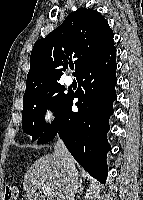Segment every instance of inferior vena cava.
Instances as JSON below:
<instances>
[{
    "mask_svg": "<svg viewBox=\"0 0 143 200\" xmlns=\"http://www.w3.org/2000/svg\"><path fill=\"white\" fill-rule=\"evenodd\" d=\"M55 152L62 156V163L67 172L66 200H75L78 188V171L75 167V161L61 139L56 142Z\"/></svg>",
    "mask_w": 143,
    "mask_h": 200,
    "instance_id": "1",
    "label": "inferior vena cava"
}]
</instances>
